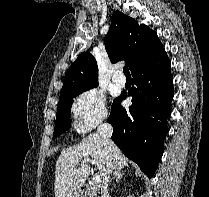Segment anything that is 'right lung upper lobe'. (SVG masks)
I'll return each instance as SVG.
<instances>
[{
    "instance_id": "right-lung-upper-lobe-1",
    "label": "right lung upper lobe",
    "mask_w": 209,
    "mask_h": 197,
    "mask_svg": "<svg viewBox=\"0 0 209 197\" xmlns=\"http://www.w3.org/2000/svg\"><path fill=\"white\" fill-rule=\"evenodd\" d=\"M112 63L126 60L131 73L164 51L155 31L120 11H115L111 27L104 38ZM98 84V67L88 51L82 53L68 69L61 92L66 89Z\"/></svg>"
}]
</instances>
